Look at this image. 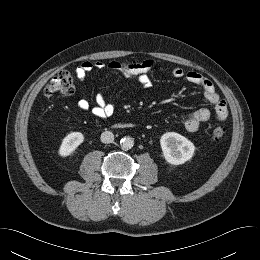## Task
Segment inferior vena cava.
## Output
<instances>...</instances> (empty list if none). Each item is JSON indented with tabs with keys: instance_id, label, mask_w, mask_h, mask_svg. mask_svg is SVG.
<instances>
[{
	"instance_id": "1",
	"label": "inferior vena cava",
	"mask_w": 260,
	"mask_h": 260,
	"mask_svg": "<svg viewBox=\"0 0 260 260\" xmlns=\"http://www.w3.org/2000/svg\"><path fill=\"white\" fill-rule=\"evenodd\" d=\"M101 141L103 143H112L114 141V135L110 131H105L101 134Z\"/></svg>"
}]
</instances>
